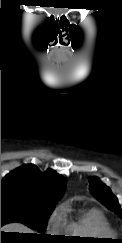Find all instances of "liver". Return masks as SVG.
I'll list each match as a JSON object with an SVG mask.
<instances>
[{
  "mask_svg": "<svg viewBox=\"0 0 122 243\" xmlns=\"http://www.w3.org/2000/svg\"><path fill=\"white\" fill-rule=\"evenodd\" d=\"M4 232L32 233V230L20 223L7 224L1 228Z\"/></svg>",
  "mask_w": 122,
  "mask_h": 243,
  "instance_id": "6515ba94",
  "label": "liver"
}]
</instances>
